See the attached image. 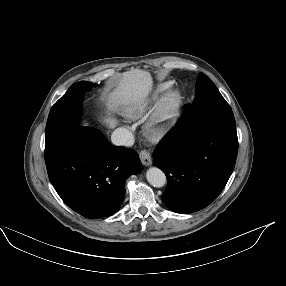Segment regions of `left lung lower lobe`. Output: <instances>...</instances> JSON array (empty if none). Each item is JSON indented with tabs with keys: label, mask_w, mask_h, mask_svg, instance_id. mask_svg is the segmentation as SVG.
<instances>
[{
	"label": "left lung lower lobe",
	"mask_w": 286,
	"mask_h": 286,
	"mask_svg": "<svg viewBox=\"0 0 286 286\" xmlns=\"http://www.w3.org/2000/svg\"><path fill=\"white\" fill-rule=\"evenodd\" d=\"M238 152L236 126L178 121L154 150V165L167 177L162 194L172 211L187 214L211 204L225 187Z\"/></svg>",
	"instance_id": "obj_1"
}]
</instances>
